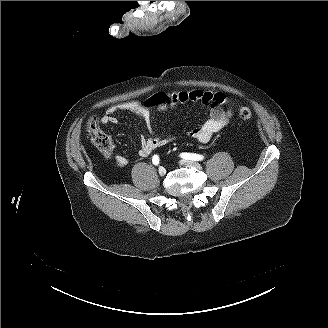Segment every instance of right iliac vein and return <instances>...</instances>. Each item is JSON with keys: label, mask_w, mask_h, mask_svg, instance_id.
I'll list each match as a JSON object with an SVG mask.
<instances>
[{"label": "right iliac vein", "mask_w": 328, "mask_h": 328, "mask_svg": "<svg viewBox=\"0 0 328 328\" xmlns=\"http://www.w3.org/2000/svg\"><path fill=\"white\" fill-rule=\"evenodd\" d=\"M166 174V169L164 167L159 168V175L164 176Z\"/></svg>", "instance_id": "1"}]
</instances>
